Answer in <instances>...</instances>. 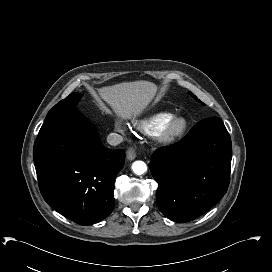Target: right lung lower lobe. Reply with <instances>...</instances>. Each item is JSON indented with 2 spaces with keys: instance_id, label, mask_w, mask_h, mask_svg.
<instances>
[{
  "instance_id": "right-lung-lower-lobe-1",
  "label": "right lung lower lobe",
  "mask_w": 272,
  "mask_h": 272,
  "mask_svg": "<svg viewBox=\"0 0 272 272\" xmlns=\"http://www.w3.org/2000/svg\"><path fill=\"white\" fill-rule=\"evenodd\" d=\"M33 158L41 194L57 212L81 225L99 222L112 212L124 150L105 148L76 108L45 120Z\"/></svg>"
}]
</instances>
